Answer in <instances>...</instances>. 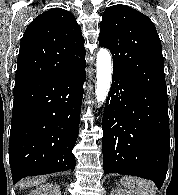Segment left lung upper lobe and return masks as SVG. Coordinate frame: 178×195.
<instances>
[{
    "label": "left lung upper lobe",
    "mask_w": 178,
    "mask_h": 195,
    "mask_svg": "<svg viewBox=\"0 0 178 195\" xmlns=\"http://www.w3.org/2000/svg\"><path fill=\"white\" fill-rule=\"evenodd\" d=\"M99 45L111 51L114 73L167 94L161 41L146 15L126 5L108 7L102 17Z\"/></svg>",
    "instance_id": "obj_1"
}]
</instances>
